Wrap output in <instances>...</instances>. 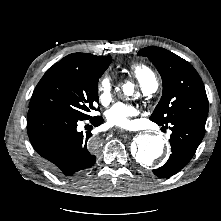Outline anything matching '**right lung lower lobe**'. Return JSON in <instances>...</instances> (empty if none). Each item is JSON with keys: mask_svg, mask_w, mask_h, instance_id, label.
<instances>
[{"mask_svg": "<svg viewBox=\"0 0 221 221\" xmlns=\"http://www.w3.org/2000/svg\"><path fill=\"white\" fill-rule=\"evenodd\" d=\"M81 119L56 111L31 108L27 132L41 162L60 177H73L91 168L95 161L90 131H77ZM94 126L103 122L101 116L90 119Z\"/></svg>", "mask_w": 221, "mask_h": 221, "instance_id": "1", "label": "right lung lower lobe"}]
</instances>
